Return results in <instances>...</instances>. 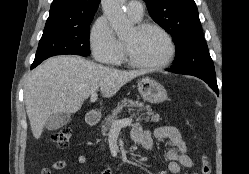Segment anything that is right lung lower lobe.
<instances>
[{
	"mask_svg": "<svg viewBox=\"0 0 249 174\" xmlns=\"http://www.w3.org/2000/svg\"><path fill=\"white\" fill-rule=\"evenodd\" d=\"M41 62H33L32 66H31V69L35 68L37 65H39Z\"/></svg>",
	"mask_w": 249,
	"mask_h": 174,
	"instance_id": "98d812e1",
	"label": "right lung lower lobe"
}]
</instances>
